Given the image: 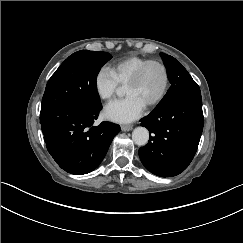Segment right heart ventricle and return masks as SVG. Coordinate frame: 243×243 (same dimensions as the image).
Masks as SVG:
<instances>
[{"label": "right heart ventricle", "instance_id": "1", "mask_svg": "<svg viewBox=\"0 0 243 243\" xmlns=\"http://www.w3.org/2000/svg\"><path fill=\"white\" fill-rule=\"evenodd\" d=\"M148 59L140 55H130L112 64L110 67L118 84H126L137 68Z\"/></svg>", "mask_w": 243, "mask_h": 243}]
</instances>
